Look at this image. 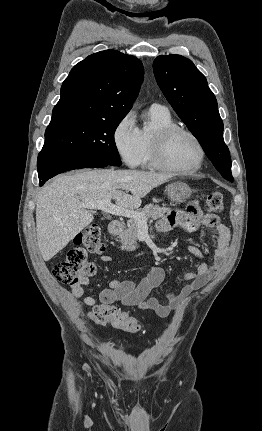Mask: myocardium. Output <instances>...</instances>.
I'll list each match as a JSON object with an SVG mask.
<instances>
[{
  "instance_id": "f54148a6",
  "label": "myocardium",
  "mask_w": 262,
  "mask_h": 431,
  "mask_svg": "<svg viewBox=\"0 0 262 431\" xmlns=\"http://www.w3.org/2000/svg\"><path fill=\"white\" fill-rule=\"evenodd\" d=\"M179 133L186 134L192 138L199 150V161L197 165L191 170H184L171 165L166 157V146L169 139ZM152 158L154 165L162 171L182 176H191L203 167L204 161L206 159V151L202 141L194 132L185 127L173 125L161 127L154 132L152 138Z\"/></svg>"
}]
</instances>
